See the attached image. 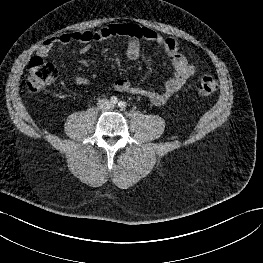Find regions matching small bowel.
I'll use <instances>...</instances> for the list:
<instances>
[{
	"label": "small bowel",
	"mask_w": 263,
	"mask_h": 263,
	"mask_svg": "<svg viewBox=\"0 0 263 263\" xmlns=\"http://www.w3.org/2000/svg\"><path fill=\"white\" fill-rule=\"evenodd\" d=\"M111 37H124L127 39V57L131 60H136L140 57L142 40L154 43L171 59L174 71L173 76L167 80L164 87L160 90L135 86L128 79L120 78L114 83V88L118 92L143 96L154 105L160 106L176 94L195 73V66L180 52L179 44L174 38L163 37L148 27H142L134 23H114L94 32L82 30L74 33L59 34L45 40L39 46L38 54L46 57L54 47L66 45L70 42L81 43L83 45L81 52L85 53L92 42L103 41ZM75 83L78 86H86L88 79L85 76L78 75L75 78Z\"/></svg>",
	"instance_id": "c3829d8e"
}]
</instances>
